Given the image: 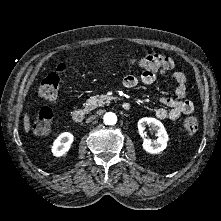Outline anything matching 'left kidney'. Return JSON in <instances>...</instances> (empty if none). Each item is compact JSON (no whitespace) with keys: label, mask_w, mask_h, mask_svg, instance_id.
Segmentation results:
<instances>
[{"label":"left kidney","mask_w":221,"mask_h":221,"mask_svg":"<svg viewBox=\"0 0 221 221\" xmlns=\"http://www.w3.org/2000/svg\"><path fill=\"white\" fill-rule=\"evenodd\" d=\"M146 126L151 127V129L156 132L158 138L155 141H151L150 139L145 138L142 144L143 149L151 154H158L165 150L169 138L164 125L155 118H141L138 121V130L141 136H144V130Z\"/></svg>","instance_id":"1"}]
</instances>
